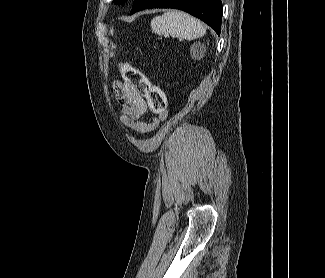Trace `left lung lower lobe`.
Wrapping results in <instances>:
<instances>
[{"label": "left lung lower lobe", "mask_w": 325, "mask_h": 278, "mask_svg": "<svg viewBox=\"0 0 325 278\" xmlns=\"http://www.w3.org/2000/svg\"><path fill=\"white\" fill-rule=\"evenodd\" d=\"M148 8H174L201 19L220 35L222 20L221 0H134L130 15Z\"/></svg>", "instance_id": "obj_1"}]
</instances>
